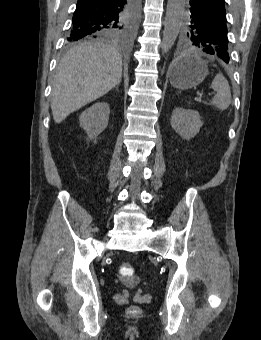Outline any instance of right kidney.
Here are the masks:
<instances>
[{
	"mask_svg": "<svg viewBox=\"0 0 261 340\" xmlns=\"http://www.w3.org/2000/svg\"><path fill=\"white\" fill-rule=\"evenodd\" d=\"M110 108L106 102H98L80 115V126L90 139L96 138L108 125Z\"/></svg>",
	"mask_w": 261,
	"mask_h": 340,
	"instance_id": "ca27d5eb",
	"label": "right kidney"
}]
</instances>
